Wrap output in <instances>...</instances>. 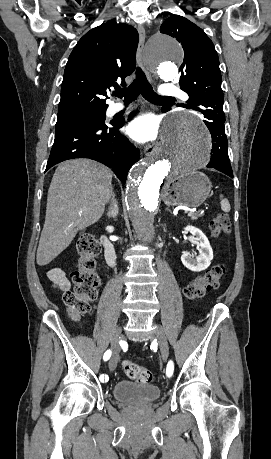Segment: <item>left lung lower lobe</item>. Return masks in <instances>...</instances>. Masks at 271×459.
Instances as JSON below:
<instances>
[{"mask_svg": "<svg viewBox=\"0 0 271 459\" xmlns=\"http://www.w3.org/2000/svg\"><path fill=\"white\" fill-rule=\"evenodd\" d=\"M186 108L192 109L189 105ZM204 122L212 136V155L207 167L215 168L233 178V172L228 157L227 137L224 130L225 117L219 115H204Z\"/></svg>", "mask_w": 271, "mask_h": 459, "instance_id": "left-lung-lower-lobe-1", "label": "left lung lower lobe"}]
</instances>
